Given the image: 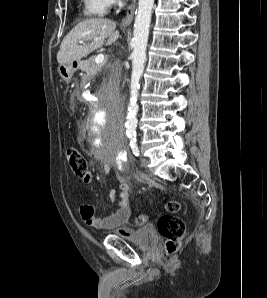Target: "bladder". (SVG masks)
<instances>
[{
    "label": "bladder",
    "mask_w": 267,
    "mask_h": 298,
    "mask_svg": "<svg viewBox=\"0 0 267 298\" xmlns=\"http://www.w3.org/2000/svg\"><path fill=\"white\" fill-rule=\"evenodd\" d=\"M116 235L144 250L151 249L158 241L157 234L152 226H144L133 230L128 236Z\"/></svg>",
    "instance_id": "31cf9c89"
}]
</instances>
